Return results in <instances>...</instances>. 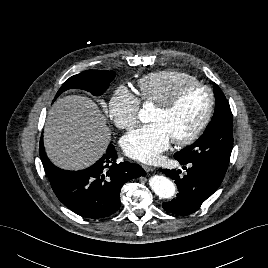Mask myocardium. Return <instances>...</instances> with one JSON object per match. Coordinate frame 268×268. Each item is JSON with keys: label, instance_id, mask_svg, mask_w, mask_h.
Instances as JSON below:
<instances>
[{"label": "myocardium", "instance_id": "f54148a6", "mask_svg": "<svg viewBox=\"0 0 268 268\" xmlns=\"http://www.w3.org/2000/svg\"><path fill=\"white\" fill-rule=\"evenodd\" d=\"M195 87L203 88L208 92V97H209L208 98V106L206 108V111H205L202 119L197 124V126L193 129V131H191L187 136H185L183 138L172 140L173 144H175L176 146H179V147L187 146V145L193 143L194 141H196L198 139V137L201 135V133L203 132V130L208 125V123L211 119L213 110H214V105H215V96H214L213 90L208 85L203 84L199 81L185 83V84L181 85L180 87H178L167 101H165L164 103L156 105V108L159 111H161L163 113L170 112L178 104L182 95L187 90H189L191 88H195Z\"/></svg>", "mask_w": 268, "mask_h": 268}]
</instances>
